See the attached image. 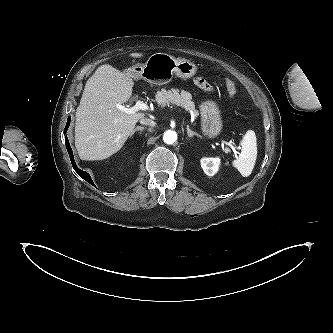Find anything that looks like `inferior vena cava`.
<instances>
[{
	"mask_svg": "<svg viewBox=\"0 0 333 333\" xmlns=\"http://www.w3.org/2000/svg\"><path fill=\"white\" fill-rule=\"evenodd\" d=\"M140 123L143 124V125L155 126V122L152 121L149 118H142V119H140Z\"/></svg>",
	"mask_w": 333,
	"mask_h": 333,
	"instance_id": "1",
	"label": "inferior vena cava"
}]
</instances>
